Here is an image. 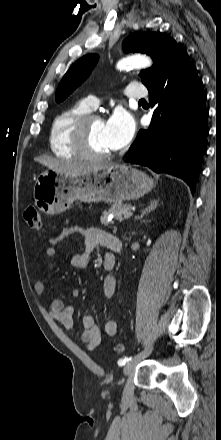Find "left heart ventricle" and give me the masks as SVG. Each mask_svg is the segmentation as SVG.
<instances>
[{
  "label": "left heart ventricle",
  "mask_w": 221,
  "mask_h": 440,
  "mask_svg": "<svg viewBox=\"0 0 221 440\" xmlns=\"http://www.w3.org/2000/svg\"><path fill=\"white\" fill-rule=\"evenodd\" d=\"M105 122L103 120L93 121L88 129V141L91 149L97 153H104L111 151L109 148L105 134Z\"/></svg>",
  "instance_id": "b2bd125f"
}]
</instances>
